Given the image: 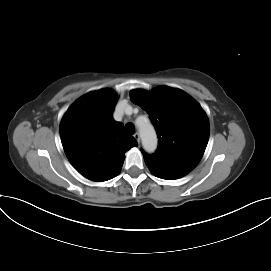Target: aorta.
Listing matches in <instances>:
<instances>
[{"mask_svg":"<svg viewBox=\"0 0 271 271\" xmlns=\"http://www.w3.org/2000/svg\"><path fill=\"white\" fill-rule=\"evenodd\" d=\"M139 131L143 148L149 153L154 152L157 147V135L153 126L146 121L139 125Z\"/></svg>","mask_w":271,"mask_h":271,"instance_id":"aorta-1","label":"aorta"}]
</instances>
